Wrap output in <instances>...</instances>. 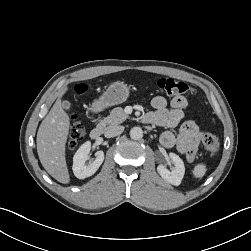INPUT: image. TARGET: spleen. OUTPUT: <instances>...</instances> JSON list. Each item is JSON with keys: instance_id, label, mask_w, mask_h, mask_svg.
I'll return each mask as SVG.
<instances>
[{"instance_id": "1", "label": "spleen", "mask_w": 251, "mask_h": 251, "mask_svg": "<svg viewBox=\"0 0 251 251\" xmlns=\"http://www.w3.org/2000/svg\"><path fill=\"white\" fill-rule=\"evenodd\" d=\"M206 171L207 169L204 164H197L193 169V175L196 178H202L205 175Z\"/></svg>"}]
</instances>
